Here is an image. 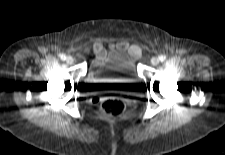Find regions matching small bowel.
<instances>
[{"mask_svg":"<svg viewBox=\"0 0 225 155\" xmlns=\"http://www.w3.org/2000/svg\"><path fill=\"white\" fill-rule=\"evenodd\" d=\"M110 48H117V49H127L133 56H138L140 53V49L136 45H129L127 43L121 42L116 44H111ZM93 52L95 56L101 57L107 54V49L100 43H96L93 46Z\"/></svg>","mask_w":225,"mask_h":155,"instance_id":"small-bowel-1","label":"small bowel"}]
</instances>
